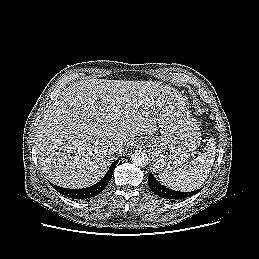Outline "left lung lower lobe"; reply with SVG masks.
<instances>
[{"label":"left lung lower lobe","mask_w":259,"mask_h":259,"mask_svg":"<svg viewBox=\"0 0 259 259\" xmlns=\"http://www.w3.org/2000/svg\"><path fill=\"white\" fill-rule=\"evenodd\" d=\"M148 184L150 189L156 195L170 200L191 197L192 195L198 193L202 189L200 188L192 192H179V191L171 190L169 188L162 186L151 173H149Z\"/></svg>","instance_id":"1"}]
</instances>
